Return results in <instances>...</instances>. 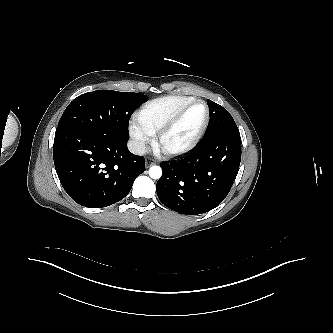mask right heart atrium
Returning a JSON list of instances; mask_svg holds the SVG:
<instances>
[{
	"mask_svg": "<svg viewBox=\"0 0 333 333\" xmlns=\"http://www.w3.org/2000/svg\"><path fill=\"white\" fill-rule=\"evenodd\" d=\"M129 134L133 141V146L136 152H143L149 142V133L138 123L137 120H132L129 123Z\"/></svg>",
	"mask_w": 333,
	"mask_h": 333,
	"instance_id": "obj_1",
	"label": "right heart atrium"
}]
</instances>
